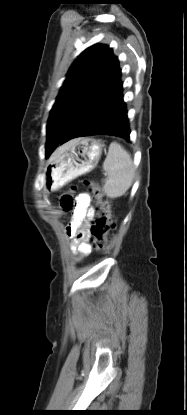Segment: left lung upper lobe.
<instances>
[{
	"mask_svg": "<svg viewBox=\"0 0 187 415\" xmlns=\"http://www.w3.org/2000/svg\"><path fill=\"white\" fill-rule=\"evenodd\" d=\"M112 55L108 46L93 45L70 67L48 119L46 157L60 144L68 129L96 108V100L90 99L91 88Z\"/></svg>",
	"mask_w": 187,
	"mask_h": 415,
	"instance_id": "5c2ea615",
	"label": "left lung upper lobe"
}]
</instances>
